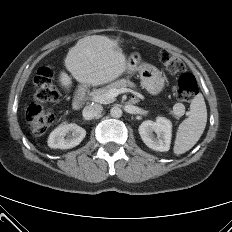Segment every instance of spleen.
<instances>
[{
  "label": "spleen",
  "instance_id": "1",
  "mask_svg": "<svg viewBox=\"0 0 232 232\" xmlns=\"http://www.w3.org/2000/svg\"><path fill=\"white\" fill-rule=\"evenodd\" d=\"M188 118L178 127L173 151L176 155L190 150L200 139L207 122V109L202 94H197L190 104Z\"/></svg>",
  "mask_w": 232,
  "mask_h": 232
}]
</instances>
